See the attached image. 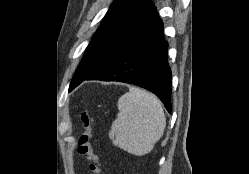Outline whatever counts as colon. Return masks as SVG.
Masks as SVG:
<instances>
[{"label": "colon", "instance_id": "5ec220e1", "mask_svg": "<svg viewBox=\"0 0 249 174\" xmlns=\"http://www.w3.org/2000/svg\"><path fill=\"white\" fill-rule=\"evenodd\" d=\"M82 132L78 139V153L89 162L90 170L93 174H101V166L97 155L90 146L91 128L88 114L84 111L80 115Z\"/></svg>", "mask_w": 249, "mask_h": 174}]
</instances>
